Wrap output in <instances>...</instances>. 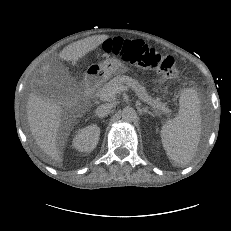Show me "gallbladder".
I'll list each match as a JSON object with an SVG mask.
<instances>
[{"instance_id": "obj_1", "label": "gallbladder", "mask_w": 231, "mask_h": 231, "mask_svg": "<svg viewBox=\"0 0 231 231\" xmlns=\"http://www.w3.org/2000/svg\"><path fill=\"white\" fill-rule=\"evenodd\" d=\"M53 68L57 71L58 77H50V81L43 83L41 94L50 100H61L66 95L65 87L72 82L71 75L67 68L60 63H54Z\"/></svg>"}]
</instances>
